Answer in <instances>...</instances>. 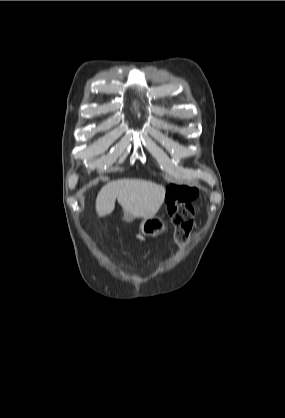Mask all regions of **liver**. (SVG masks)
<instances>
[{"mask_svg": "<svg viewBox=\"0 0 285 418\" xmlns=\"http://www.w3.org/2000/svg\"><path fill=\"white\" fill-rule=\"evenodd\" d=\"M165 188L142 179H121L107 183L96 198V212L106 216L113 212L115 201L124 212L135 218L156 215L164 202Z\"/></svg>", "mask_w": 285, "mask_h": 418, "instance_id": "6515ba94", "label": "liver"}]
</instances>
